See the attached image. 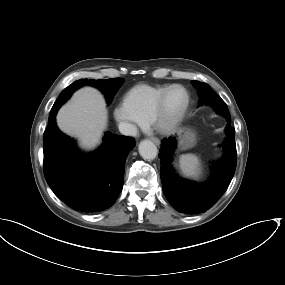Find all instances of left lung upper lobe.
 <instances>
[{
    "mask_svg": "<svg viewBox=\"0 0 285 285\" xmlns=\"http://www.w3.org/2000/svg\"><path fill=\"white\" fill-rule=\"evenodd\" d=\"M195 87L198 88V93L200 96L199 105L204 104H211L212 100L214 99H221L211 88L209 85L199 82V81H192ZM222 100V99H221ZM222 106L218 108V113L224 115L226 118L230 117L228 108L224 101L222 100Z\"/></svg>",
    "mask_w": 285,
    "mask_h": 285,
    "instance_id": "5c2ea615",
    "label": "left lung upper lobe"
}]
</instances>
